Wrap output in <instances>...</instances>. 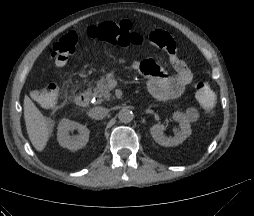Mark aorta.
I'll return each instance as SVG.
<instances>
[{
	"instance_id": "obj_1",
	"label": "aorta",
	"mask_w": 254,
	"mask_h": 216,
	"mask_svg": "<svg viewBox=\"0 0 254 216\" xmlns=\"http://www.w3.org/2000/svg\"><path fill=\"white\" fill-rule=\"evenodd\" d=\"M118 118L122 123H130L134 118V114L130 109L123 108L119 111Z\"/></svg>"
}]
</instances>
